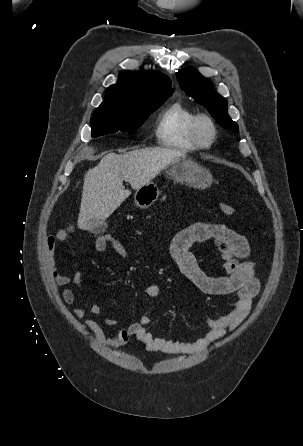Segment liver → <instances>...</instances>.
Wrapping results in <instances>:
<instances>
[{"instance_id":"obj_1","label":"liver","mask_w":303,"mask_h":446,"mask_svg":"<svg viewBox=\"0 0 303 446\" xmlns=\"http://www.w3.org/2000/svg\"><path fill=\"white\" fill-rule=\"evenodd\" d=\"M184 157L181 151L164 148L108 153L85 174L78 227L91 230L130 196L131 191L124 188L123 181L129 182L137 190L166 166Z\"/></svg>"}]
</instances>
